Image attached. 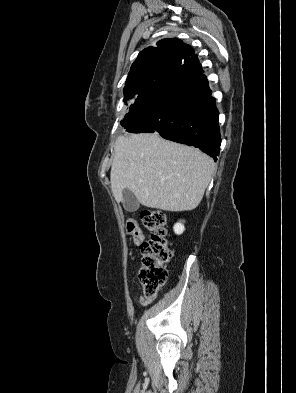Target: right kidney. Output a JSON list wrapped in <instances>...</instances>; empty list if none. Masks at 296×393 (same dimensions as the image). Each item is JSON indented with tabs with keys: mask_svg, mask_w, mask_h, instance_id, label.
I'll return each mask as SVG.
<instances>
[{
	"mask_svg": "<svg viewBox=\"0 0 296 393\" xmlns=\"http://www.w3.org/2000/svg\"><path fill=\"white\" fill-rule=\"evenodd\" d=\"M173 229H174L175 234L180 235L184 232L185 227L181 222H179L174 225Z\"/></svg>",
	"mask_w": 296,
	"mask_h": 393,
	"instance_id": "1",
	"label": "right kidney"
}]
</instances>
